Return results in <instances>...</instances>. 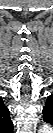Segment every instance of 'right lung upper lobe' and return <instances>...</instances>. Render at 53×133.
Segmentation results:
<instances>
[{
  "label": "right lung upper lobe",
  "instance_id": "right-lung-upper-lobe-1",
  "mask_svg": "<svg viewBox=\"0 0 53 133\" xmlns=\"http://www.w3.org/2000/svg\"><path fill=\"white\" fill-rule=\"evenodd\" d=\"M0 129L6 133H12L13 124L10 120L9 110L5 107L2 99L0 98Z\"/></svg>",
  "mask_w": 53,
  "mask_h": 133
}]
</instances>
